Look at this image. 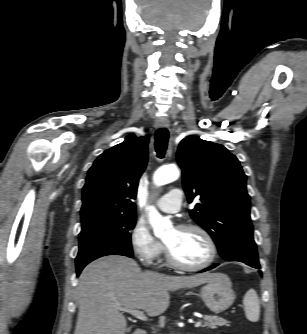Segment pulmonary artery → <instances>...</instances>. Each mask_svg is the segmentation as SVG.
<instances>
[{
	"label": "pulmonary artery",
	"instance_id": "e3ab8cb5",
	"mask_svg": "<svg viewBox=\"0 0 307 334\" xmlns=\"http://www.w3.org/2000/svg\"><path fill=\"white\" fill-rule=\"evenodd\" d=\"M182 199V191L174 188L161 196L156 202V205L163 212L175 213L180 210Z\"/></svg>",
	"mask_w": 307,
	"mask_h": 334
}]
</instances>
